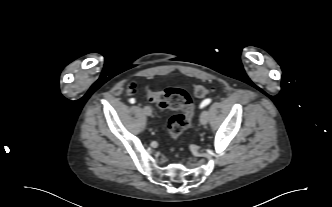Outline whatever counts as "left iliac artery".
Instances as JSON below:
<instances>
[{"mask_svg": "<svg viewBox=\"0 0 332 207\" xmlns=\"http://www.w3.org/2000/svg\"><path fill=\"white\" fill-rule=\"evenodd\" d=\"M211 99H205L204 101H202V103L200 104V108H203L205 106H207L208 104L211 103Z\"/></svg>", "mask_w": 332, "mask_h": 207, "instance_id": "44dca946", "label": "left iliac artery"}]
</instances>
